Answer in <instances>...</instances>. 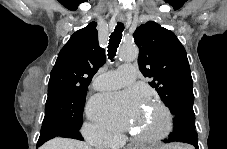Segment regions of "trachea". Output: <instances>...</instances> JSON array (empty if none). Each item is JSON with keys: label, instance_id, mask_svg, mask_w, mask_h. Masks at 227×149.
<instances>
[{"label": "trachea", "instance_id": "3493384b", "mask_svg": "<svg viewBox=\"0 0 227 149\" xmlns=\"http://www.w3.org/2000/svg\"><path fill=\"white\" fill-rule=\"evenodd\" d=\"M123 31H124V24L121 22H118L114 29V32L111 33L110 39H109L108 56L110 60H113L116 55L117 48L122 39Z\"/></svg>", "mask_w": 227, "mask_h": 149}]
</instances>
